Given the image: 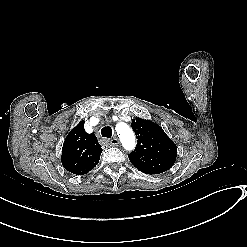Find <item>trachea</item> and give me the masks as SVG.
<instances>
[{"mask_svg":"<svg viewBox=\"0 0 247 247\" xmlns=\"http://www.w3.org/2000/svg\"><path fill=\"white\" fill-rule=\"evenodd\" d=\"M101 135L104 138L110 139L112 136V129L109 126H105L101 129Z\"/></svg>","mask_w":247,"mask_h":247,"instance_id":"trachea-1","label":"trachea"}]
</instances>
